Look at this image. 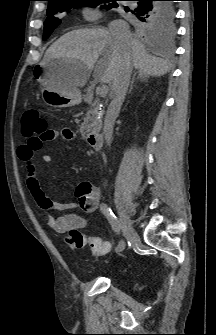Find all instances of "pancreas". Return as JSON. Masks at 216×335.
<instances>
[{"instance_id":"obj_1","label":"pancreas","mask_w":216,"mask_h":335,"mask_svg":"<svg viewBox=\"0 0 216 335\" xmlns=\"http://www.w3.org/2000/svg\"><path fill=\"white\" fill-rule=\"evenodd\" d=\"M97 111H98V107L94 105L90 107V109L87 111L84 117V121L80 128V132L82 136H85L86 133L98 127Z\"/></svg>"}]
</instances>
